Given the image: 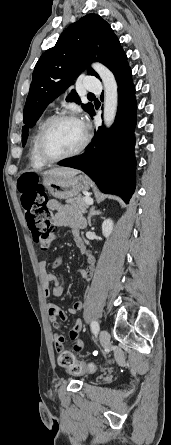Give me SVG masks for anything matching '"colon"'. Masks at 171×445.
Listing matches in <instances>:
<instances>
[{
	"label": "colon",
	"instance_id": "5ec220e1",
	"mask_svg": "<svg viewBox=\"0 0 171 445\" xmlns=\"http://www.w3.org/2000/svg\"><path fill=\"white\" fill-rule=\"evenodd\" d=\"M17 188L20 203L25 214L28 227L34 242L47 249L56 239V228L52 223V214L48 207V198L43 185L34 175L19 178ZM58 363L70 373L79 375L84 372H94L97 366L77 361L73 353L64 348H58Z\"/></svg>",
	"mask_w": 171,
	"mask_h": 445
}]
</instances>
